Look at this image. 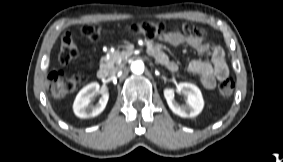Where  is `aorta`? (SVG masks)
I'll use <instances>...</instances> for the list:
<instances>
[{
    "label": "aorta",
    "instance_id": "aorta-1",
    "mask_svg": "<svg viewBox=\"0 0 283 162\" xmlns=\"http://www.w3.org/2000/svg\"><path fill=\"white\" fill-rule=\"evenodd\" d=\"M131 71L134 74H142L144 71V63L141 60L134 61L131 64Z\"/></svg>",
    "mask_w": 283,
    "mask_h": 162
}]
</instances>
